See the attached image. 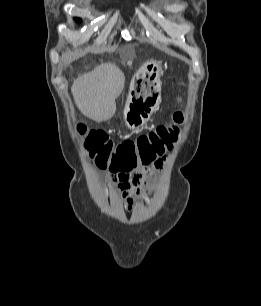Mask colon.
Instances as JSON below:
<instances>
[{
  "instance_id": "obj_1",
  "label": "colon",
  "mask_w": 261,
  "mask_h": 306,
  "mask_svg": "<svg viewBox=\"0 0 261 306\" xmlns=\"http://www.w3.org/2000/svg\"><path fill=\"white\" fill-rule=\"evenodd\" d=\"M184 114L177 110L173 114V123L159 125L153 130L117 144L103 131L89 130L84 126L77 127L82 138L83 152L103 170L131 171L138 167H147L155 163L167 151L173 148Z\"/></svg>"
}]
</instances>
